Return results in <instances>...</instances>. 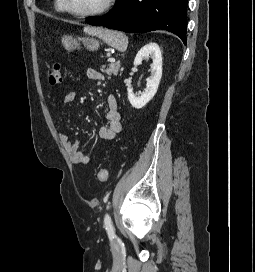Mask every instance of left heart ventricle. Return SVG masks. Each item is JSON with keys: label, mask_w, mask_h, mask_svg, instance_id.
I'll list each match as a JSON object with an SVG mask.
<instances>
[{"label": "left heart ventricle", "mask_w": 255, "mask_h": 272, "mask_svg": "<svg viewBox=\"0 0 255 272\" xmlns=\"http://www.w3.org/2000/svg\"><path fill=\"white\" fill-rule=\"evenodd\" d=\"M105 0H68L70 7L77 12H89L100 8Z\"/></svg>", "instance_id": "b2bd125f"}]
</instances>
